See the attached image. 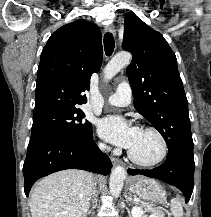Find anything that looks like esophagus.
<instances>
[{
	"instance_id": "esophagus-1",
	"label": "esophagus",
	"mask_w": 211,
	"mask_h": 217,
	"mask_svg": "<svg viewBox=\"0 0 211 217\" xmlns=\"http://www.w3.org/2000/svg\"><path fill=\"white\" fill-rule=\"evenodd\" d=\"M105 31L109 32V33H112L113 35L116 34V30H115V27L113 25H106L105 26ZM111 161H112V163L114 165L122 163V161L120 159L115 158V157H111Z\"/></svg>"
}]
</instances>
